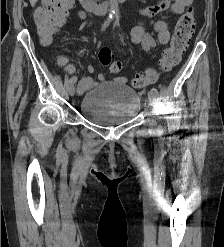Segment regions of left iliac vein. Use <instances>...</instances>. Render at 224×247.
I'll return each mask as SVG.
<instances>
[{
	"instance_id": "1",
	"label": "left iliac vein",
	"mask_w": 224,
	"mask_h": 247,
	"mask_svg": "<svg viewBox=\"0 0 224 247\" xmlns=\"http://www.w3.org/2000/svg\"><path fill=\"white\" fill-rule=\"evenodd\" d=\"M148 100L151 106L154 108V110H156L157 108L156 96L151 91L148 92Z\"/></svg>"
}]
</instances>
